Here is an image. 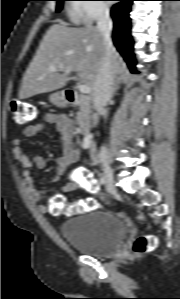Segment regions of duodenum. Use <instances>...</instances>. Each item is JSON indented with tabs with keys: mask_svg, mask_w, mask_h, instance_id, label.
Wrapping results in <instances>:
<instances>
[{
	"mask_svg": "<svg viewBox=\"0 0 180 299\" xmlns=\"http://www.w3.org/2000/svg\"><path fill=\"white\" fill-rule=\"evenodd\" d=\"M65 98L69 105H78L85 111L89 110L90 103L87 96L82 95L75 90L68 89L65 91ZM78 126L83 134L89 133L92 129L91 123L86 119L81 120Z\"/></svg>",
	"mask_w": 180,
	"mask_h": 299,
	"instance_id": "duodenum-1",
	"label": "duodenum"
}]
</instances>
